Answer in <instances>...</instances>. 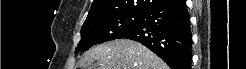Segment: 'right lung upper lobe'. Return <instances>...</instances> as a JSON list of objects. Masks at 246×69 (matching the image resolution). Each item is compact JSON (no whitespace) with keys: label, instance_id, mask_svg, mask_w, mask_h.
<instances>
[{"label":"right lung upper lobe","instance_id":"obj_1","mask_svg":"<svg viewBox=\"0 0 246 69\" xmlns=\"http://www.w3.org/2000/svg\"><path fill=\"white\" fill-rule=\"evenodd\" d=\"M163 1L165 0H94L86 21L121 14H142Z\"/></svg>","mask_w":246,"mask_h":69}]
</instances>
